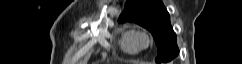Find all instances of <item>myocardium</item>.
<instances>
[{
	"label": "myocardium",
	"mask_w": 242,
	"mask_h": 64,
	"mask_svg": "<svg viewBox=\"0 0 242 64\" xmlns=\"http://www.w3.org/2000/svg\"><path fill=\"white\" fill-rule=\"evenodd\" d=\"M134 40L138 49H146L152 42L150 34L144 30L136 31L134 34Z\"/></svg>",
	"instance_id": "1"
}]
</instances>
